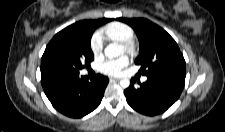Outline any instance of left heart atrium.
I'll return each mask as SVG.
<instances>
[{"label":"left heart atrium","instance_id":"1","mask_svg":"<svg viewBox=\"0 0 225 132\" xmlns=\"http://www.w3.org/2000/svg\"><path fill=\"white\" fill-rule=\"evenodd\" d=\"M129 64V58L123 55L116 59H109L99 65V70L109 76H118L123 69Z\"/></svg>","mask_w":225,"mask_h":132}]
</instances>
